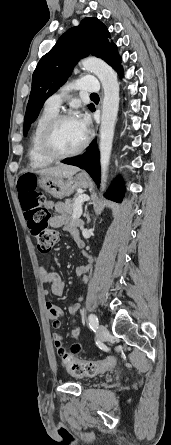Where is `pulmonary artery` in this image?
<instances>
[{
	"mask_svg": "<svg viewBox=\"0 0 171 445\" xmlns=\"http://www.w3.org/2000/svg\"><path fill=\"white\" fill-rule=\"evenodd\" d=\"M71 87L80 89L84 92H96L99 90V83L96 77L93 76H84L78 79ZM65 90L63 89L60 92L52 94L46 100V106L58 110L62 104L63 98L65 96Z\"/></svg>",
	"mask_w": 171,
	"mask_h": 445,
	"instance_id": "pulmonary-artery-1",
	"label": "pulmonary artery"
}]
</instances>
